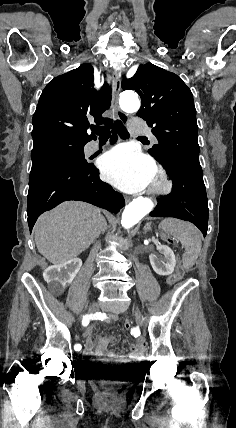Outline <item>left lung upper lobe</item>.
Instances as JSON below:
<instances>
[{
	"mask_svg": "<svg viewBox=\"0 0 236 428\" xmlns=\"http://www.w3.org/2000/svg\"><path fill=\"white\" fill-rule=\"evenodd\" d=\"M124 90H135L142 105L137 115L147 121L158 144L148 152L163 166L175 161L201 167L193 95L183 80L152 63L124 78Z\"/></svg>",
	"mask_w": 236,
	"mask_h": 428,
	"instance_id": "left-lung-upper-lobe-1",
	"label": "left lung upper lobe"
}]
</instances>
